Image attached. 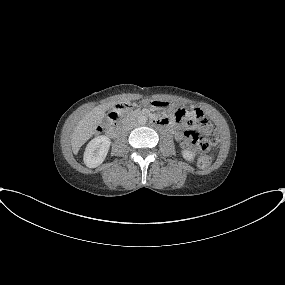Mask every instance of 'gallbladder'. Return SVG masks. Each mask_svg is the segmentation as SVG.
I'll use <instances>...</instances> for the list:
<instances>
[{"label":"gallbladder","instance_id":"1","mask_svg":"<svg viewBox=\"0 0 285 285\" xmlns=\"http://www.w3.org/2000/svg\"><path fill=\"white\" fill-rule=\"evenodd\" d=\"M104 121H109V118H107L106 116L104 117Z\"/></svg>","mask_w":285,"mask_h":285}]
</instances>
